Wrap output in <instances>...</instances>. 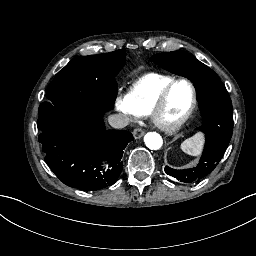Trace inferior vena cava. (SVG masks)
<instances>
[{
    "label": "inferior vena cava",
    "mask_w": 256,
    "mask_h": 256,
    "mask_svg": "<svg viewBox=\"0 0 256 256\" xmlns=\"http://www.w3.org/2000/svg\"><path fill=\"white\" fill-rule=\"evenodd\" d=\"M108 120L109 124L117 129L125 128L129 125V118L124 114L112 115Z\"/></svg>",
    "instance_id": "602c4592"
}]
</instances>
